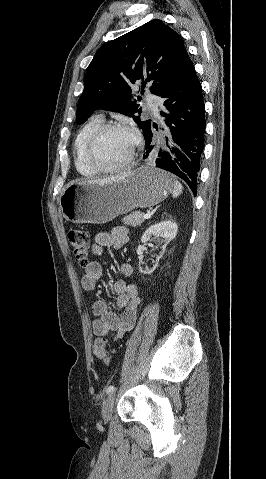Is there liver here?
<instances>
[{"mask_svg":"<svg viewBox=\"0 0 266 479\" xmlns=\"http://www.w3.org/2000/svg\"><path fill=\"white\" fill-rule=\"evenodd\" d=\"M130 174L131 173L128 172V173H123L117 176H112V177H108L104 179H94V180L83 181L81 183L104 184L108 182H115V181H120L127 178Z\"/></svg>","mask_w":266,"mask_h":479,"instance_id":"6515ba94","label":"liver"}]
</instances>
